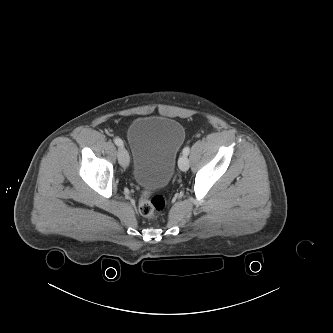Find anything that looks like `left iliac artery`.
Returning a JSON list of instances; mask_svg holds the SVG:
<instances>
[{"label": "left iliac artery", "mask_w": 333, "mask_h": 333, "mask_svg": "<svg viewBox=\"0 0 333 333\" xmlns=\"http://www.w3.org/2000/svg\"><path fill=\"white\" fill-rule=\"evenodd\" d=\"M189 152H190V148H189V146H186L184 149H183V155H185V156H187L188 154H189Z\"/></svg>", "instance_id": "obj_1"}]
</instances>
